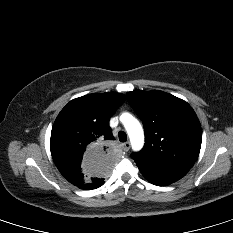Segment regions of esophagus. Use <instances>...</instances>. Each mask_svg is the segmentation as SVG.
<instances>
[{"mask_svg": "<svg viewBox=\"0 0 233 233\" xmlns=\"http://www.w3.org/2000/svg\"><path fill=\"white\" fill-rule=\"evenodd\" d=\"M130 147H131L130 142H125V143L122 144V149H123L125 152L129 151Z\"/></svg>", "mask_w": 233, "mask_h": 233, "instance_id": "obj_1", "label": "esophagus"}]
</instances>
